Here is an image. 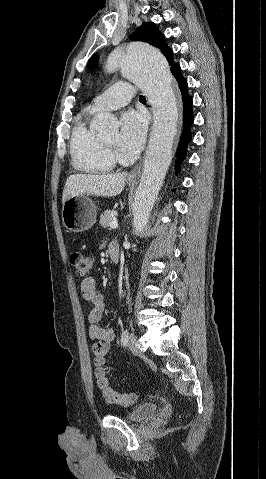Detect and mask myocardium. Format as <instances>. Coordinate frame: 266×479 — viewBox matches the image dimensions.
Masks as SVG:
<instances>
[{
  "label": "myocardium",
  "mask_w": 266,
  "mask_h": 479,
  "mask_svg": "<svg viewBox=\"0 0 266 479\" xmlns=\"http://www.w3.org/2000/svg\"><path fill=\"white\" fill-rule=\"evenodd\" d=\"M103 143H104L105 147L107 148V150H108L110 156H111L113 159H115V158L118 156L115 145L109 143V142L106 141L105 139H103Z\"/></svg>",
  "instance_id": "myocardium-1"
}]
</instances>
